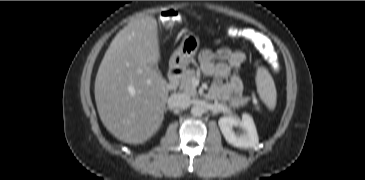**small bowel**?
<instances>
[{
    "mask_svg": "<svg viewBox=\"0 0 365 180\" xmlns=\"http://www.w3.org/2000/svg\"><path fill=\"white\" fill-rule=\"evenodd\" d=\"M198 60L203 73L212 81L213 96L225 100L240 97L242 82L235 70L248 60L246 53L230 48H222L216 53L203 50Z\"/></svg>",
    "mask_w": 365,
    "mask_h": 180,
    "instance_id": "c3829d8e",
    "label": "small bowel"
}]
</instances>
